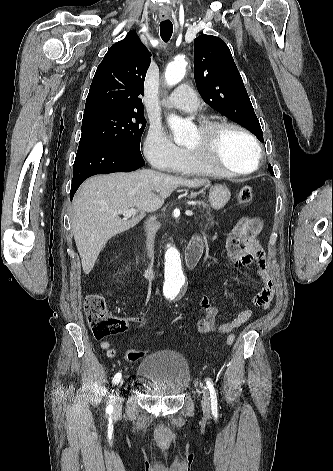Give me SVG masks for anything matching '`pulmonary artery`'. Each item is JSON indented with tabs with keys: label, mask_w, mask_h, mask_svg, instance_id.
Here are the masks:
<instances>
[{
	"label": "pulmonary artery",
	"mask_w": 333,
	"mask_h": 471,
	"mask_svg": "<svg viewBox=\"0 0 333 471\" xmlns=\"http://www.w3.org/2000/svg\"><path fill=\"white\" fill-rule=\"evenodd\" d=\"M163 103L167 107L177 108L187 113H196L199 107L195 92L186 84L180 85Z\"/></svg>",
	"instance_id": "obj_1"
}]
</instances>
